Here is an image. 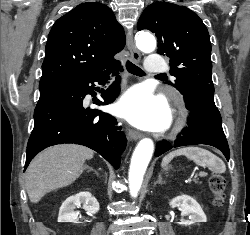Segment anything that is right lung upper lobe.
I'll use <instances>...</instances> for the list:
<instances>
[{
    "label": "right lung upper lobe",
    "mask_w": 250,
    "mask_h": 235,
    "mask_svg": "<svg viewBox=\"0 0 250 235\" xmlns=\"http://www.w3.org/2000/svg\"><path fill=\"white\" fill-rule=\"evenodd\" d=\"M125 34L112 10L98 2L79 4L53 25L39 86L67 81L112 63Z\"/></svg>",
    "instance_id": "cb5924a9"
}]
</instances>
